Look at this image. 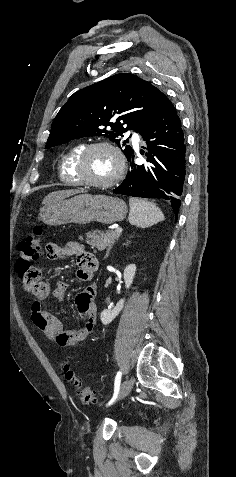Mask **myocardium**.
<instances>
[{
  "label": "myocardium",
  "mask_w": 236,
  "mask_h": 477,
  "mask_svg": "<svg viewBox=\"0 0 236 477\" xmlns=\"http://www.w3.org/2000/svg\"><path fill=\"white\" fill-rule=\"evenodd\" d=\"M96 148H106L110 150L116 157L117 171L114 174V176L109 180L101 181V182L92 181L85 178L83 175L82 169H83L85 158L93 149H96ZM74 172L81 184L88 185L95 188H102V189L109 188L114 186L116 183H118L123 177L125 172V158L123 154L121 153V151L113 144L109 142H105V141L93 142L86 145L76 157L75 164H74Z\"/></svg>",
  "instance_id": "myocardium-1"
}]
</instances>
